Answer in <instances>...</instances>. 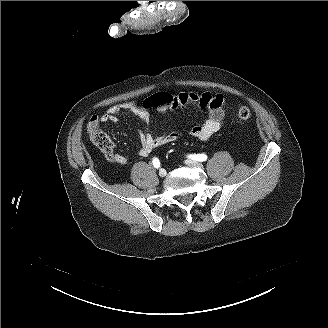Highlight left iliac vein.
I'll return each instance as SVG.
<instances>
[{"mask_svg":"<svg viewBox=\"0 0 328 328\" xmlns=\"http://www.w3.org/2000/svg\"><path fill=\"white\" fill-rule=\"evenodd\" d=\"M186 164L189 165V166H192V167H197V168H203L204 167L200 162L193 161V160H187Z\"/></svg>","mask_w":328,"mask_h":328,"instance_id":"4c4485c4","label":"left iliac vein"}]
</instances>
